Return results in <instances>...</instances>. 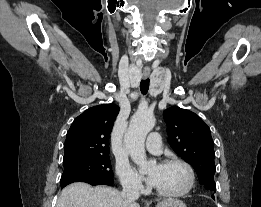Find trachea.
Masks as SVG:
<instances>
[{
	"instance_id": "obj_1",
	"label": "trachea",
	"mask_w": 261,
	"mask_h": 207,
	"mask_svg": "<svg viewBox=\"0 0 261 207\" xmlns=\"http://www.w3.org/2000/svg\"><path fill=\"white\" fill-rule=\"evenodd\" d=\"M149 89V78L145 79V80H141L140 83V91L143 95L147 94Z\"/></svg>"
}]
</instances>
